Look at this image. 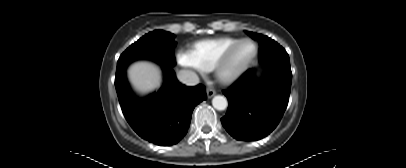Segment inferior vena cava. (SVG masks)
<instances>
[{"label":"inferior vena cava","instance_id":"602c4592","mask_svg":"<svg viewBox=\"0 0 406 168\" xmlns=\"http://www.w3.org/2000/svg\"><path fill=\"white\" fill-rule=\"evenodd\" d=\"M178 79L185 85L194 86L199 83L198 75L191 70H181L177 74Z\"/></svg>","mask_w":406,"mask_h":168}]
</instances>
